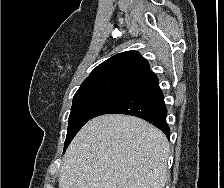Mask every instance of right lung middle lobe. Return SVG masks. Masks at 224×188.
I'll use <instances>...</instances> for the list:
<instances>
[{
  "label": "right lung middle lobe",
  "mask_w": 224,
  "mask_h": 188,
  "mask_svg": "<svg viewBox=\"0 0 224 188\" xmlns=\"http://www.w3.org/2000/svg\"><path fill=\"white\" fill-rule=\"evenodd\" d=\"M131 80L108 78L82 83L73 98L64 151L93 114Z\"/></svg>",
  "instance_id": "1"
}]
</instances>
